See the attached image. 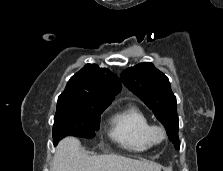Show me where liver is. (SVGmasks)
Returning <instances> with one entry per match:
<instances>
[{"mask_svg": "<svg viewBox=\"0 0 223 171\" xmlns=\"http://www.w3.org/2000/svg\"><path fill=\"white\" fill-rule=\"evenodd\" d=\"M150 161H139L119 155L91 156L75 137L62 139L56 148L51 171H161Z\"/></svg>", "mask_w": 223, "mask_h": 171, "instance_id": "6515ba94", "label": "liver"}]
</instances>
